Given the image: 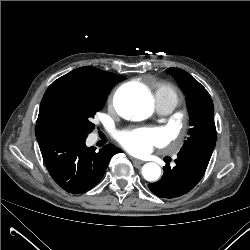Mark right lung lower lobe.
I'll list each match as a JSON object with an SVG mask.
<instances>
[{
    "instance_id": "obj_1",
    "label": "right lung lower lobe",
    "mask_w": 250,
    "mask_h": 250,
    "mask_svg": "<svg viewBox=\"0 0 250 250\" xmlns=\"http://www.w3.org/2000/svg\"><path fill=\"white\" fill-rule=\"evenodd\" d=\"M87 135L58 133L38 138L44 163L54 179L69 193L80 194L95 187L113 155L121 150L107 144L98 152L85 145Z\"/></svg>"
}]
</instances>
